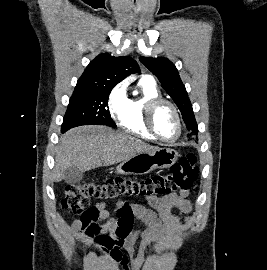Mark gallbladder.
I'll use <instances>...</instances> for the list:
<instances>
[{"label":"gallbladder","instance_id":"obj_1","mask_svg":"<svg viewBox=\"0 0 267 270\" xmlns=\"http://www.w3.org/2000/svg\"><path fill=\"white\" fill-rule=\"evenodd\" d=\"M64 181L68 184L79 183L83 179V172L76 167L68 168L64 173Z\"/></svg>","mask_w":267,"mask_h":270}]
</instances>
